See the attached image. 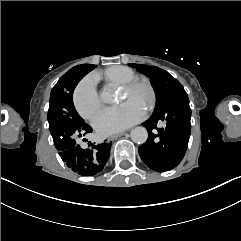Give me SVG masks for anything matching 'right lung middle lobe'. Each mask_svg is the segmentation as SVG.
Instances as JSON below:
<instances>
[{"instance_id":"1","label":"right lung middle lobe","mask_w":241,"mask_h":241,"mask_svg":"<svg viewBox=\"0 0 241 241\" xmlns=\"http://www.w3.org/2000/svg\"><path fill=\"white\" fill-rule=\"evenodd\" d=\"M93 69L96 65H92ZM81 65L75 66L64 74L51 91L48 110L49 130L54 144L63 134L76 136V132L85 124L77 113L72 99L75 89L73 81Z\"/></svg>"}]
</instances>
